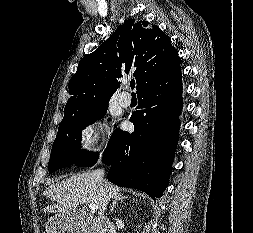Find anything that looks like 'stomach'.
<instances>
[{
	"label": "stomach",
	"mask_w": 253,
	"mask_h": 233,
	"mask_svg": "<svg viewBox=\"0 0 253 233\" xmlns=\"http://www.w3.org/2000/svg\"><path fill=\"white\" fill-rule=\"evenodd\" d=\"M77 215L75 213L58 214L48 220L46 223L47 233H77L76 232Z\"/></svg>",
	"instance_id": "obj_1"
}]
</instances>
